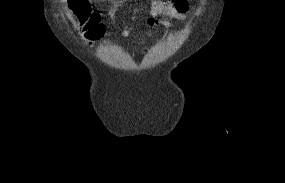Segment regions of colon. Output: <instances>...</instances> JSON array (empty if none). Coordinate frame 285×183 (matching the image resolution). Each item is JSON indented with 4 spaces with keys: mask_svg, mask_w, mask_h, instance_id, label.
<instances>
[{
    "mask_svg": "<svg viewBox=\"0 0 285 183\" xmlns=\"http://www.w3.org/2000/svg\"><path fill=\"white\" fill-rule=\"evenodd\" d=\"M179 10H185L183 3L186 0H172ZM70 7L74 15L78 19L82 31L88 41H95L101 38L103 34V26L97 14L91 10L88 0H70Z\"/></svg>",
    "mask_w": 285,
    "mask_h": 183,
    "instance_id": "5ec220e1",
    "label": "colon"
}]
</instances>
